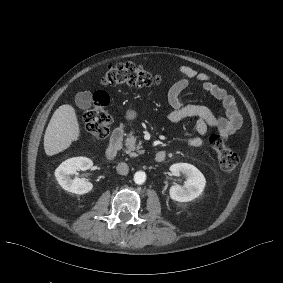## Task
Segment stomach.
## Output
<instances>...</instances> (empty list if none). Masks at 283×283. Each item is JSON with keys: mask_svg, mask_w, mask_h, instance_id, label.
Returning <instances> with one entry per match:
<instances>
[{"mask_svg": "<svg viewBox=\"0 0 283 283\" xmlns=\"http://www.w3.org/2000/svg\"><path fill=\"white\" fill-rule=\"evenodd\" d=\"M138 116V112L134 109H129L125 115H124V118L127 120V121H133L137 118Z\"/></svg>", "mask_w": 283, "mask_h": 283, "instance_id": "stomach-1", "label": "stomach"}]
</instances>
